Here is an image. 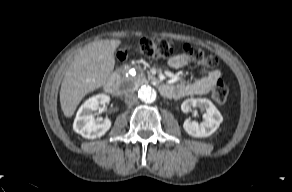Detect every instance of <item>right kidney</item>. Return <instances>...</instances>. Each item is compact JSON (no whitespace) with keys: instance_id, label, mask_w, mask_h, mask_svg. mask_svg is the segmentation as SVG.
<instances>
[{"instance_id":"right-kidney-1","label":"right kidney","mask_w":292,"mask_h":192,"mask_svg":"<svg viewBox=\"0 0 292 192\" xmlns=\"http://www.w3.org/2000/svg\"><path fill=\"white\" fill-rule=\"evenodd\" d=\"M109 96L98 94L90 97L79 108L73 123V129L76 133L87 139H95L103 136L111 127V121L108 118L95 119L92 115L100 106H105L109 102Z\"/></svg>"}]
</instances>
